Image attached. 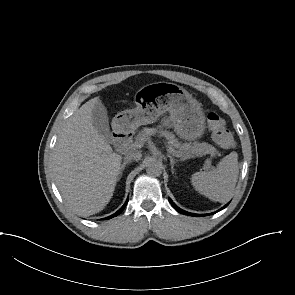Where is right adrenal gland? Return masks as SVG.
Segmentation results:
<instances>
[{"label": "right adrenal gland", "mask_w": 295, "mask_h": 295, "mask_svg": "<svg viewBox=\"0 0 295 295\" xmlns=\"http://www.w3.org/2000/svg\"><path fill=\"white\" fill-rule=\"evenodd\" d=\"M129 163H130V161H124V162H123V164L121 165L120 170H119V175H118V177H117V181H119V180L121 179V177H122V173H123V171H124V169H125V166H126L127 164H129Z\"/></svg>", "instance_id": "2a0ac1e0"}]
</instances>
